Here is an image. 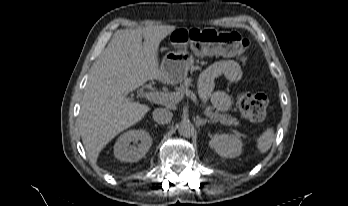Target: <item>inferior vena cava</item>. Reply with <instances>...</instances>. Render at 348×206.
I'll return each instance as SVG.
<instances>
[{
  "label": "inferior vena cava",
  "instance_id": "1",
  "mask_svg": "<svg viewBox=\"0 0 348 206\" xmlns=\"http://www.w3.org/2000/svg\"><path fill=\"white\" fill-rule=\"evenodd\" d=\"M173 113L165 108H157L153 111V119L158 124H167L172 120Z\"/></svg>",
  "mask_w": 348,
  "mask_h": 206
}]
</instances>
